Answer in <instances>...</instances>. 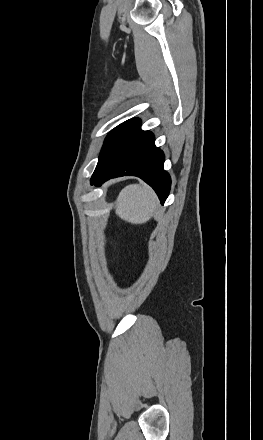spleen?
I'll return each instance as SVG.
<instances>
[{
	"label": "spleen",
	"mask_w": 263,
	"mask_h": 440,
	"mask_svg": "<svg viewBox=\"0 0 263 440\" xmlns=\"http://www.w3.org/2000/svg\"><path fill=\"white\" fill-rule=\"evenodd\" d=\"M158 208V199L147 185L131 184L119 193L116 214L132 224H143L150 220Z\"/></svg>",
	"instance_id": "1"
}]
</instances>
